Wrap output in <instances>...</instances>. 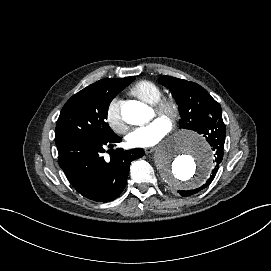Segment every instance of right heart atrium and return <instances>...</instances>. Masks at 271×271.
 Segmentation results:
<instances>
[{"label":"right heart atrium","mask_w":271,"mask_h":271,"mask_svg":"<svg viewBox=\"0 0 271 271\" xmlns=\"http://www.w3.org/2000/svg\"><path fill=\"white\" fill-rule=\"evenodd\" d=\"M120 96L115 95L109 99L105 109V120L109 126L118 133H125L128 129L127 122L120 110Z\"/></svg>","instance_id":"d8ad5b80"}]
</instances>
